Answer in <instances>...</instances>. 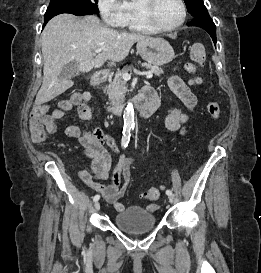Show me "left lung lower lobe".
<instances>
[{"instance_id": "left-lung-lower-lobe-1", "label": "left lung lower lobe", "mask_w": 261, "mask_h": 273, "mask_svg": "<svg viewBox=\"0 0 261 273\" xmlns=\"http://www.w3.org/2000/svg\"><path fill=\"white\" fill-rule=\"evenodd\" d=\"M188 26H197L205 29L216 45V27L208 12L195 16L193 20L188 23Z\"/></svg>"}]
</instances>
